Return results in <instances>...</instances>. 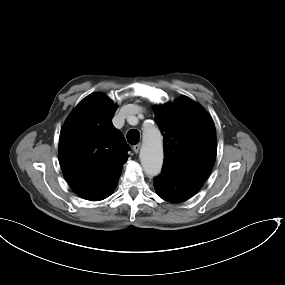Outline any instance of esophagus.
Instances as JSON below:
<instances>
[{"instance_id":"34e87169","label":"esophagus","mask_w":285,"mask_h":285,"mask_svg":"<svg viewBox=\"0 0 285 285\" xmlns=\"http://www.w3.org/2000/svg\"><path fill=\"white\" fill-rule=\"evenodd\" d=\"M140 148H141V144H136L133 146V151L135 153H138L140 151Z\"/></svg>"}]
</instances>
